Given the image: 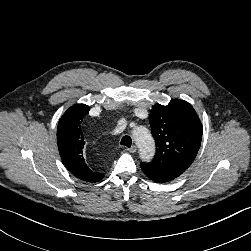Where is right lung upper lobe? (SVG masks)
Instances as JSON below:
<instances>
[{"mask_svg":"<svg viewBox=\"0 0 251 251\" xmlns=\"http://www.w3.org/2000/svg\"><path fill=\"white\" fill-rule=\"evenodd\" d=\"M89 110V106L77 104L64 113L57 127V144L63 163L73 175L87 182H98L104 175L88 167L83 152L85 141L81 123Z\"/></svg>","mask_w":251,"mask_h":251,"instance_id":"cb5924a9","label":"right lung upper lobe"}]
</instances>
